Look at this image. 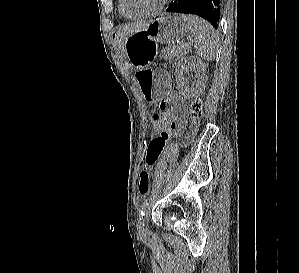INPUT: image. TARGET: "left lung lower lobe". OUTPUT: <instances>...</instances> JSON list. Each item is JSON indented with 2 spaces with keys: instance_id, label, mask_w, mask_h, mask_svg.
Returning a JSON list of instances; mask_svg holds the SVG:
<instances>
[{
  "instance_id": "1",
  "label": "left lung lower lobe",
  "mask_w": 299,
  "mask_h": 273,
  "mask_svg": "<svg viewBox=\"0 0 299 273\" xmlns=\"http://www.w3.org/2000/svg\"><path fill=\"white\" fill-rule=\"evenodd\" d=\"M166 11L199 15L217 29L220 15V0H174Z\"/></svg>"
}]
</instances>
